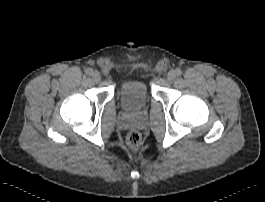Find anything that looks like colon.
Wrapping results in <instances>:
<instances>
[{"instance_id":"1","label":"colon","mask_w":265,"mask_h":202,"mask_svg":"<svg viewBox=\"0 0 265 202\" xmlns=\"http://www.w3.org/2000/svg\"><path fill=\"white\" fill-rule=\"evenodd\" d=\"M129 149L136 150L140 147L142 142V136L139 132L133 131L130 132L126 139Z\"/></svg>"}]
</instances>
